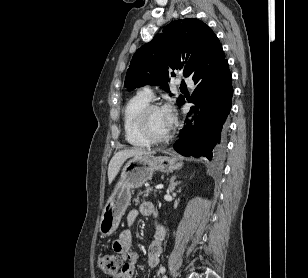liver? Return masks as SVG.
Wrapping results in <instances>:
<instances>
[{"instance_id": "1", "label": "liver", "mask_w": 308, "mask_h": 278, "mask_svg": "<svg viewBox=\"0 0 308 278\" xmlns=\"http://www.w3.org/2000/svg\"><path fill=\"white\" fill-rule=\"evenodd\" d=\"M155 152L150 150H145L142 148H133L128 150H121L114 154L112 159L110 160L108 166V181L109 184L115 179L116 175L118 174L122 164L125 162L126 159L135 156H143V155H151Z\"/></svg>"}]
</instances>
